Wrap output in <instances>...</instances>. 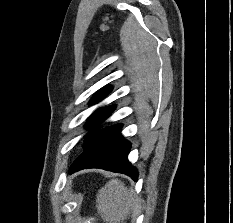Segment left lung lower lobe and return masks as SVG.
<instances>
[{
	"instance_id": "0a47b994",
	"label": "left lung lower lobe",
	"mask_w": 233,
	"mask_h": 223,
	"mask_svg": "<svg viewBox=\"0 0 233 223\" xmlns=\"http://www.w3.org/2000/svg\"><path fill=\"white\" fill-rule=\"evenodd\" d=\"M122 124L106 127L86 147L84 152L72 163L69 172L85 168H102L123 173L134 181L138 179L137 169L127 160L131 144L122 138Z\"/></svg>"
}]
</instances>
